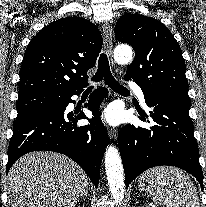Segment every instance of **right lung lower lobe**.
Instances as JSON below:
<instances>
[{"mask_svg": "<svg viewBox=\"0 0 206 207\" xmlns=\"http://www.w3.org/2000/svg\"><path fill=\"white\" fill-rule=\"evenodd\" d=\"M81 91L82 88L63 95L65 100L60 111L40 112L14 121L6 173L22 155L49 150L72 158L83 168L92 183L98 186L102 155L108 144V135L98 109L106 97L107 89L101 87L95 90L86 104L95 116L86 126L76 124L80 119H87L83 112L66 111L67 105L73 103L71 97Z\"/></svg>", "mask_w": 206, "mask_h": 207, "instance_id": "obj_1", "label": "right lung lower lobe"}]
</instances>
